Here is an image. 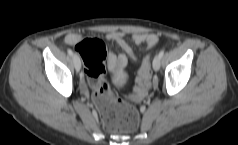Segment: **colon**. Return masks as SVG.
Instances as JSON below:
<instances>
[{"label": "colon", "instance_id": "obj_1", "mask_svg": "<svg viewBox=\"0 0 238 145\" xmlns=\"http://www.w3.org/2000/svg\"><path fill=\"white\" fill-rule=\"evenodd\" d=\"M82 57L94 102L99 109L104 126L112 132H131L139 125L138 111L131 105L115 97L104 80L106 49L97 38H83L75 45ZM151 55L145 57L139 71L137 86L132 97L141 100L150 86Z\"/></svg>", "mask_w": 238, "mask_h": 145}]
</instances>
